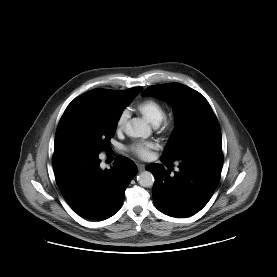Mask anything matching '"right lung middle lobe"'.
<instances>
[{
	"instance_id": "dd1d6c3e",
	"label": "right lung middle lobe",
	"mask_w": 277,
	"mask_h": 277,
	"mask_svg": "<svg viewBox=\"0 0 277 277\" xmlns=\"http://www.w3.org/2000/svg\"><path fill=\"white\" fill-rule=\"evenodd\" d=\"M139 90L110 94L94 89L75 98L57 127L55 144L64 149L99 154L109 150L119 117Z\"/></svg>"
}]
</instances>
